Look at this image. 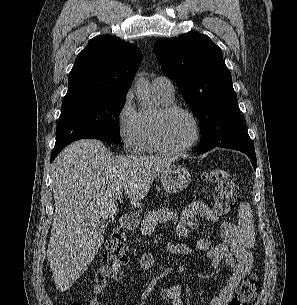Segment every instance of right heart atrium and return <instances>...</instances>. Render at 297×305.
I'll return each mask as SVG.
<instances>
[{
	"instance_id": "1",
	"label": "right heart atrium",
	"mask_w": 297,
	"mask_h": 305,
	"mask_svg": "<svg viewBox=\"0 0 297 305\" xmlns=\"http://www.w3.org/2000/svg\"><path fill=\"white\" fill-rule=\"evenodd\" d=\"M118 135L128 151H134L137 147L141 130V115L134 104V95L128 91L117 111L116 115Z\"/></svg>"
}]
</instances>
